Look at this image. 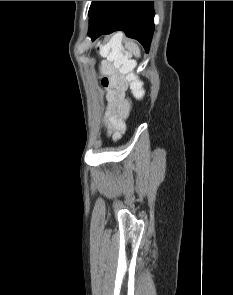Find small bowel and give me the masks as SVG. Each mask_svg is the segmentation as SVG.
Listing matches in <instances>:
<instances>
[{
  "mask_svg": "<svg viewBox=\"0 0 233 295\" xmlns=\"http://www.w3.org/2000/svg\"><path fill=\"white\" fill-rule=\"evenodd\" d=\"M109 110L106 114V122L109 130H115V137L120 136L124 126L122 119H124L130 108V102L125 97L124 89L121 91H110L108 94Z\"/></svg>",
  "mask_w": 233,
  "mask_h": 295,
  "instance_id": "small-bowel-1",
  "label": "small bowel"
}]
</instances>
